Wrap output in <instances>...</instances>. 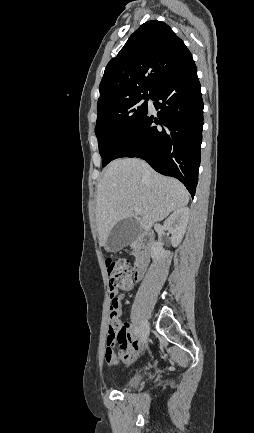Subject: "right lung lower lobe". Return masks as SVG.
I'll return each mask as SVG.
<instances>
[{
	"instance_id": "1",
	"label": "right lung lower lobe",
	"mask_w": 254,
	"mask_h": 433,
	"mask_svg": "<svg viewBox=\"0 0 254 433\" xmlns=\"http://www.w3.org/2000/svg\"><path fill=\"white\" fill-rule=\"evenodd\" d=\"M157 117L149 112L115 153L113 159L138 157L157 172L179 179L195 195L200 165L203 101L196 65L191 59L151 98Z\"/></svg>"
}]
</instances>
